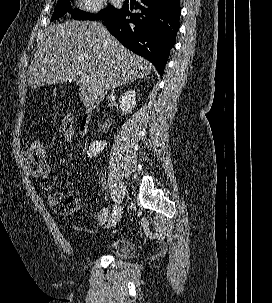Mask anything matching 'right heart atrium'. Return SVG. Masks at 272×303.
Returning a JSON list of instances; mask_svg holds the SVG:
<instances>
[{"mask_svg":"<svg viewBox=\"0 0 272 303\" xmlns=\"http://www.w3.org/2000/svg\"><path fill=\"white\" fill-rule=\"evenodd\" d=\"M81 9L96 12L103 8L105 0H78Z\"/></svg>","mask_w":272,"mask_h":303,"instance_id":"d8ad5b80","label":"right heart atrium"}]
</instances>
